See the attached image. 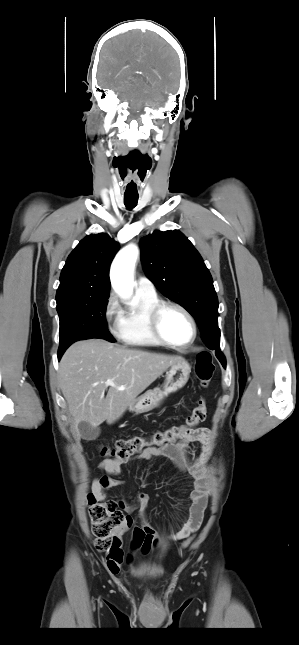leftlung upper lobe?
I'll list each match as a JSON object with an SVG mask.
<instances>
[{
  "mask_svg": "<svg viewBox=\"0 0 299 645\" xmlns=\"http://www.w3.org/2000/svg\"><path fill=\"white\" fill-rule=\"evenodd\" d=\"M141 260L146 276L169 299L185 307L195 318L204 343L220 351L217 322L218 298L212 276L192 243L179 231H155L140 242Z\"/></svg>",
  "mask_w": 299,
  "mask_h": 645,
  "instance_id": "obj_1",
  "label": "left lung upper lobe"
}]
</instances>
